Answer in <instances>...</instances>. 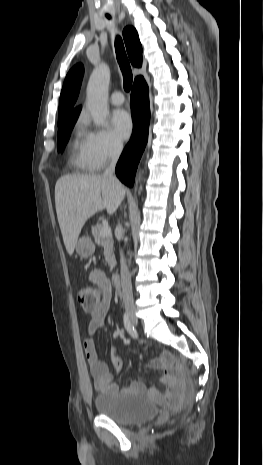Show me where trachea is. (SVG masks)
<instances>
[{
	"mask_svg": "<svg viewBox=\"0 0 263 465\" xmlns=\"http://www.w3.org/2000/svg\"><path fill=\"white\" fill-rule=\"evenodd\" d=\"M110 19V17H107ZM116 57L123 74V87L125 91H130L133 81L132 70L129 60L127 58L123 41L121 37L117 36L115 40Z\"/></svg>",
	"mask_w": 263,
	"mask_h": 465,
	"instance_id": "1",
	"label": "trachea"
}]
</instances>
